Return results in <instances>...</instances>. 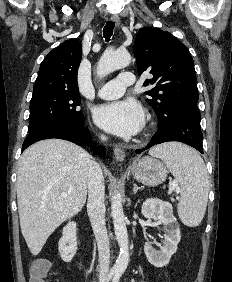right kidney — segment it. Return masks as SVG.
<instances>
[{
	"label": "right kidney",
	"instance_id": "ca27d5eb",
	"mask_svg": "<svg viewBox=\"0 0 232 282\" xmlns=\"http://www.w3.org/2000/svg\"><path fill=\"white\" fill-rule=\"evenodd\" d=\"M76 228L77 224L75 222H69L63 228V235L59 240L58 250L62 260L65 262H70L77 251Z\"/></svg>",
	"mask_w": 232,
	"mask_h": 282
}]
</instances>
